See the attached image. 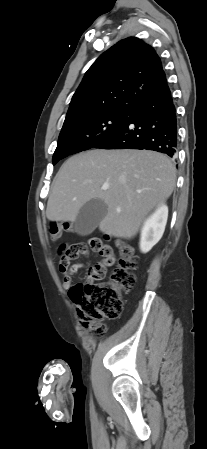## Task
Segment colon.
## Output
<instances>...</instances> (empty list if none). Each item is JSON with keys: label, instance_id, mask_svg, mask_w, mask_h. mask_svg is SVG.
I'll list each match as a JSON object with an SVG mask.
<instances>
[{"label": "colon", "instance_id": "colon-1", "mask_svg": "<svg viewBox=\"0 0 207 449\" xmlns=\"http://www.w3.org/2000/svg\"><path fill=\"white\" fill-rule=\"evenodd\" d=\"M69 222H52L48 232L52 240H58L62 233L71 232ZM119 251L118 265L113 270L109 280L102 281L106 268L115 262L113 249L104 244L99 237H92L85 242L63 246L61 248L60 266L67 267L70 261L77 259L88 252H98L103 261L94 267V278L77 283L69 290L71 300L77 305L80 317L97 336L104 335L106 331L101 319L114 320L119 318L123 309L122 296L135 284L136 277L133 271L137 268V261L133 255L132 247L125 241L117 243Z\"/></svg>", "mask_w": 207, "mask_h": 449}]
</instances>
